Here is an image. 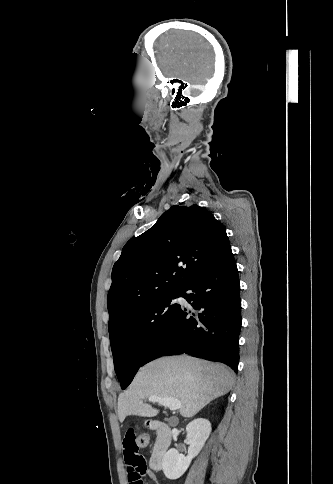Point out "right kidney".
I'll use <instances>...</instances> for the list:
<instances>
[{"mask_svg": "<svg viewBox=\"0 0 333 484\" xmlns=\"http://www.w3.org/2000/svg\"><path fill=\"white\" fill-rule=\"evenodd\" d=\"M186 431L189 442L187 456L179 454L172 448L163 457V472L170 480L180 478L188 469L192 459L199 454L211 433V423L206 419L198 418L187 425Z\"/></svg>", "mask_w": 333, "mask_h": 484, "instance_id": "right-kidney-1", "label": "right kidney"}]
</instances>
